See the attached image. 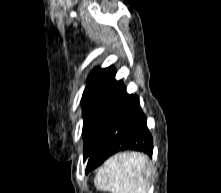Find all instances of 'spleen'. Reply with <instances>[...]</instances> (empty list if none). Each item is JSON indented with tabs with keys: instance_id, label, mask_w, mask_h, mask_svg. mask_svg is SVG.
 <instances>
[{
	"instance_id": "3e777b00",
	"label": "spleen",
	"mask_w": 221,
	"mask_h": 193,
	"mask_svg": "<svg viewBox=\"0 0 221 193\" xmlns=\"http://www.w3.org/2000/svg\"><path fill=\"white\" fill-rule=\"evenodd\" d=\"M148 158L138 152H124L109 158L94 179L98 190L111 193H147L150 176Z\"/></svg>"
}]
</instances>
